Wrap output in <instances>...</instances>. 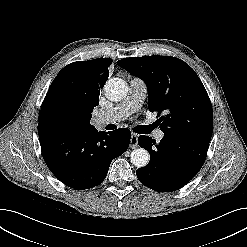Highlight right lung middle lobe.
Segmentation results:
<instances>
[{
	"mask_svg": "<svg viewBox=\"0 0 247 247\" xmlns=\"http://www.w3.org/2000/svg\"><path fill=\"white\" fill-rule=\"evenodd\" d=\"M72 70H61L52 82L42 105L38 122L54 129L74 132L81 106L72 85Z\"/></svg>",
	"mask_w": 247,
	"mask_h": 247,
	"instance_id": "right-lung-middle-lobe-1",
	"label": "right lung middle lobe"
}]
</instances>
